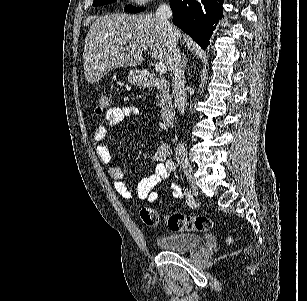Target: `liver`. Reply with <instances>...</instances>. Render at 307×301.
<instances>
[{"label": "liver", "instance_id": "6515ba94", "mask_svg": "<svg viewBox=\"0 0 307 301\" xmlns=\"http://www.w3.org/2000/svg\"><path fill=\"white\" fill-rule=\"evenodd\" d=\"M178 32V38H182V32ZM145 48H150L152 58L172 70V38L154 12L99 16L93 20L85 38L83 66L87 82H98L117 66H139Z\"/></svg>", "mask_w": 307, "mask_h": 301}]
</instances>
